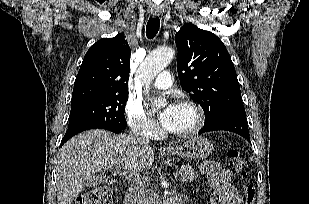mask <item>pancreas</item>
<instances>
[{
  "instance_id": "pancreas-1",
  "label": "pancreas",
  "mask_w": 309,
  "mask_h": 204,
  "mask_svg": "<svg viewBox=\"0 0 309 204\" xmlns=\"http://www.w3.org/2000/svg\"><path fill=\"white\" fill-rule=\"evenodd\" d=\"M178 175H181V178L185 182H193L196 178H198L197 172H195L191 166H186L183 169H179Z\"/></svg>"
}]
</instances>
